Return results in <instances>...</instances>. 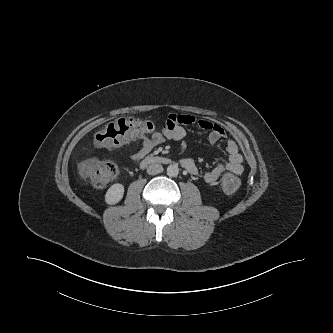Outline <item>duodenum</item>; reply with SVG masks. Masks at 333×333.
<instances>
[{"mask_svg":"<svg viewBox=\"0 0 333 333\" xmlns=\"http://www.w3.org/2000/svg\"><path fill=\"white\" fill-rule=\"evenodd\" d=\"M162 163H167V159L159 156H149L142 161L141 165L146 166L149 164H162Z\"/></svg>","mask_w":333,"mask_h":333,"instance_id":"1","label":"duodenum"}]
</instances>
